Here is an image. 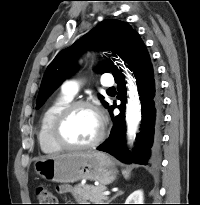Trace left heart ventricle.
Here are the masks:
<instances>
[{"label":"left heart ventricle","mask_w":200,"mask_h":205,"mask_svg":"<svg viewBox=\"0 0 200 205\" xmlns=\"http://www.w3.org/2000/svg\"><path fill=\"white\" fill-rule=\"evenodd\" d=\"M100 121L98 115L91 109H77L66 121L63 127L65 140L72 144L91 142L99 133Z\"/></svg>","instance_id":"obj_1"}]
</instances>
